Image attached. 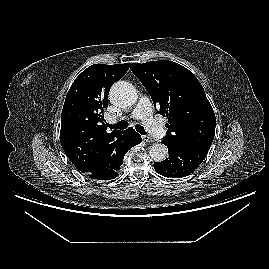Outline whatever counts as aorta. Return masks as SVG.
<instances>
[{
    "mask_svg": "<svg viewBox=\"0 0 269 269\" xmlns=\"http://www.w3.org/2000/svg\"><path fill=\"white\" fill-rule=\"evenodd\" d=\"M111 102L119 107H128L137 100L136 89L126 81L116 82L110 91ZM168 154V148L162 143H155L149 150V155L155 162L164 161Z\"/></svg>",
    "mask_w": 269,
    "mask_h": 269,
    "instance_id": "762f6f07",
    "label": "aorta"
}]
</instances>
